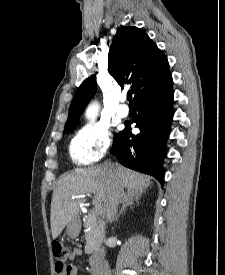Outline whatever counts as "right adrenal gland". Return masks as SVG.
Returning a JSON list of instances; mask_svg holds the SVG:
<instances>
[{"mask_svg": "<svg viewBox=\"0 0 225 275\" xmlns=\"http://www.w3.org/2000/svg\"><path fill=\"white\" fill-rule=\"evenodd\" d=\"M140 197H141V193H129L128 192L126 194L125 199L123 200V206L116 217V221H118V218L121 216V214L125 211V209L128 206H132L134 204V202L138 203V201L140 200Z\"/></svg>", "mask_w": 225, "mask_h": 275, "instance_id": "2a0ac1e0", "label": "right adrenal gland"}]
</instances>
